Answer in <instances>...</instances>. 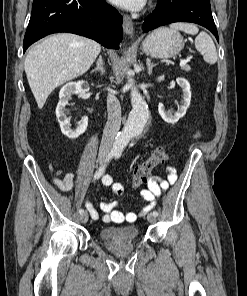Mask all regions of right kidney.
I'll return each instance as SVG.
<instances>
[{
	"mask_svg": "<svg viewBox=\"0 0 247 296\" xmlns=\"http://www.w3.org/2000/svg\"><path fill=\"white\" fill-rule=\"evenodd\" d=\"M87 91H89L88 84L83 80L69 82L65 84L60 90L59 102L56 107V116L62 133L69 139H76L86 131L88 126V117H82L78 126L72 129L67 117L66 105H68V101L71 99L73 94H81Z\"/></svg>",
	"mask_w": 247,
	"mask_h": 296,
	"instance_id": "right-kidney-1",
	"label": "right kidney"
}]
</instances>
